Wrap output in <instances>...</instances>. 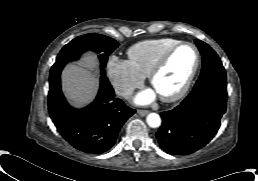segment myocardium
Returning a JSON list of instances; mask_svg holds the SVG:
<instances>
[{
  "mask_svg": "<svg viewBox=\"0 0 258 181\" xmlns=\"http://www.w3.org/2000/svg\"><path fill=\"white\" fill-rule=\"evenodd\" d=\"M183 46H190L194 50L195 55H196L195 65H194L190 75L188 76L186 82L184 83V85L181 87L180 90H178L176 93H174L172 95H160V99L164 102H168V103L175 102V101L181 99L190 89V87L194 81V78L196 77V74L199 70L200 63H201L200 52H199L197 46L195 44H193L192 42H188V41L178 42L177 44H175L174 46L169 48L165 53H163L161 55V57L157 60V62L155 63V65L153 66V68L151 69V71L148 75L149 82L153 86L156 77L159 75V73L162 71V69L166 66L168 61L173 56V54L179 48H181Z\"/></svg>",
  "mask_w": 258,
  "mask_h": 181,
  "instance_id": "obj_1",
  "label": "myocardium"
}]
</instances>
